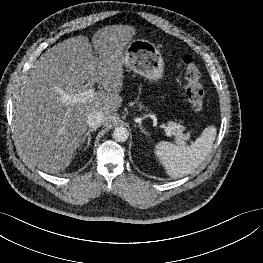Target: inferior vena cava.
Returning <instances> with one entry per match:
<instances>
[{"label":"inferior vena cava","mask_w":263,"mask_h":263,"mask_svg":"<svg viewBox=\"0 0 263 263\" xmlns=\"http://www.w3.org/2000/svg\"><path fill=\"white\" fill-rule=\"evenodd\" d=\"M104 122V115L99 111H91L87 115L86 123L90 128H98Z\"/></svg>","instance_id":"obj_1"}]
</instances>
